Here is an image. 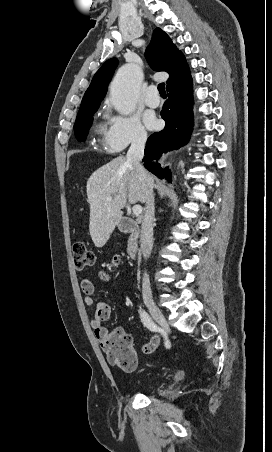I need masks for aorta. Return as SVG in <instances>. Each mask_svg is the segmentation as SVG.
<instances>
[{
    "instance_id": "obj_1",
    "label": "aorta",
    "mask_w": 272,
    "mask_h": 452,
    "mask_svg": "<svg viewBox=\"0 0 272 452\" xmlns=\"http://www.w3.org/2000/svg\"><path fill=\"white\" fill-rule=\"evenodd\" d=\"M141 82L137 65L127 64L118 70L110 85V102L118 113L129 115L135 110Z\"/></svg>"
}]
</instances>
